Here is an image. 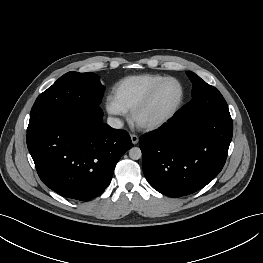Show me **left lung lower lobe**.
<instances>
[{"label":"left lung lower lobe","instance_id":"1","mask_svg":"<svg viewBox=\"0 0 263 263\" xmlns=\"http://www.w3.org/2000/svg\"><path fill=\"white\" fill-rule=\"evenodd\" d=\"M233 134L230 114L183 126L176 115L140 138L143 172L158 192L180 197L211 182L222 170Z\"/></svg>","mask_w":263,"mask_h":263}]
</instances>
